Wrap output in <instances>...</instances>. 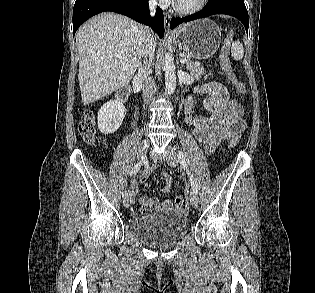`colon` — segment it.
Returning <instances> with one entry per match:
<instances>
[{
    "instance_id": "5ec220e1",
    "label": "colon",
    "mask_w": 315,
    "mask_h": 293,
    "mask_svg": "<svg viewBox=\"0 0 315 293\" xmlns=\"http://www.w3.org/2000/svg\"><path fill=\"white\" fill-rule=\"evenodd\" d=\"M233 42H234L233 32L229 31L227 36L225 37V40L222 41V48H221L219 59L221 61L223 70L227 78L230 80V82L234 85V87L237 89L239 93L244 94L246 92L245 84L237 79L229 63V59H230L229 53H230L231 43ZM79 132L86 143L91 144L96 141L97 132L95 128L94 115L91 111H87L85 113L83 120L81 121L79 125ZM239 137H240V134H237L232 138L230 142L231 147L236 145V143L239 140ZM175 203L179 207H184L186 206L187 201L185 197L179 195L175 198Z\"/></svg>"
}]
</instances>
